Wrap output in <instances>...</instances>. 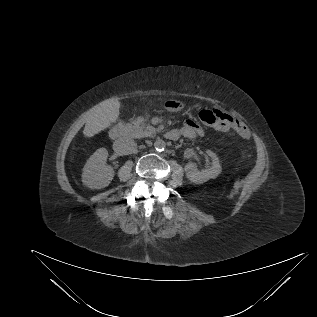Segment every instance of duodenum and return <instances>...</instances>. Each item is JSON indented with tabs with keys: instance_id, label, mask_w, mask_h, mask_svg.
Returning <instances> with one entry per match:
<instances>
[{
	"instance_id": "duodenum-1",
	"label": "duodenum",
	"mask_w": 317,
	"mask_h": 317,
	"mask_svg": "<svg viewBox=\"0 0 317 317\" xmlns=\"http://www.w3.org/2000/svg\"><path fill=\"white\" fill-rule=\"evenodd\" d=\"M129 134L128 127L125 122H120L116 124L110 131V138L112 140H120L122 138L127 137ZM166 138L169 140H176L177 131L169 130L165 134Z\"/></svg>"
}]
</instances>
